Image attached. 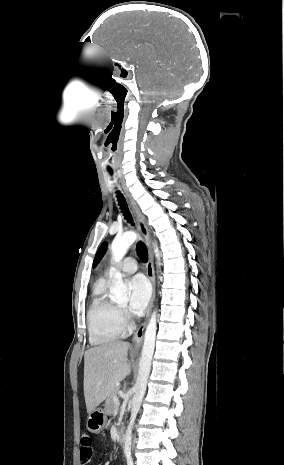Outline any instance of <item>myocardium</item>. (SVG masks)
<instances>
[{
  "instance_id": "myocardium-1",
  "label": "myocardium",
  "mask_w": 284,
  "mask_h": 465,
  "mask_svg": "<svg viewBox=\"0 0 284 465\" xmlns=\"http://www.w3.org/2000/svg\"><path fill=\"white\" fill-rule=\"evenodd\" d=\"M119 324H120V326H121L122 328L125 327V326L127 325V323H125V322H119Z\"/></svg>"
}]
</instances>
